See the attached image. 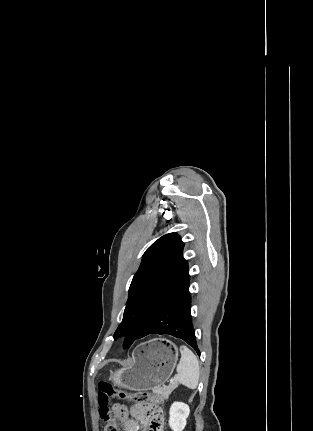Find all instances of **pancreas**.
<instances>
[{
    "mask_svg": "<svg viewBox=\"0 0 313 431\" xmlns=\"http://www.w3.org/2000/svg\"><path fill=\"white\" fill-rule=\"evenodd\" d=\"M178 384L176 382L170 384L169 386L158 387L153 390V393L162 399H167L172 391L177 388Z\"/></svg>",
    "mask_w": 313,
    "mask_h": 431,
    "instance_id": "pancreas-1",
    "label": "pancreas"
}]
</instances>
